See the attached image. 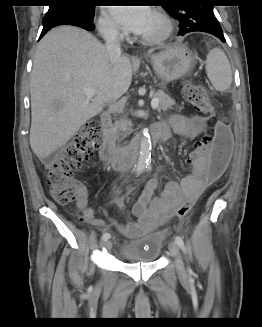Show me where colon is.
Here are the masks:
<instances>
[{
    "label": "colon",
    "mask_w": 262,
    "mask_h": 327,
    "mask_svg": "<svg viewBox=\"0 0 262 327\" xmlns=\"http://www.w3.org/2000/svg\"><path fill=\"white\" fill-rule=\"evenodd\" d=\"M186 101L207 118H213L214 111L203 86L187 82L183 86ZM102 127L99 121L90 120L71 139L61 151L59 157L49 167L47 186L50 195L58 203L76 200L81 187L74 179V173L87 160L88 155L102 143ZM232 148V134L229 127L221 122L196 142L192 155L203 156L207 160V177L209 182L218 180L225 172ZM194 202L185 201L174 212L177 217H185ZM122 209V207H121Z\"/></svg>",
    "instance_id": "5ec220e1"
}]
</instances>
